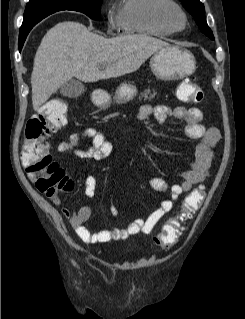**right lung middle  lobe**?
Returning a JSON list of instances; mask_svg holds the SVG:
<instances>
[{"label": "right lung middle lobe", "mask_w": 245, "mask_h": 319, "mask_svg": "<svg viewBox=\"0 0 245 319\" xmlns=\"http://www.w3.org/2000/svg\"><path fill=\"white\" fill-rule=\"evenodd\" d=\"M37 8L56 9L57 11L74 10L84 13L94 20H99L101 0H30L26 6L24 17ZM29 21L30 18L23 20L21 28L26 27Z\"/></svg>", "instance_id": "dd1d6c3e"}]
</instances>
